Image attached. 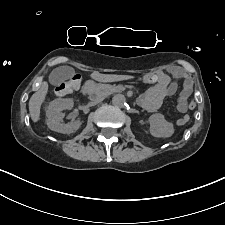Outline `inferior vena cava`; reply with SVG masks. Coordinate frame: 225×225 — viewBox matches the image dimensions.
<instances>
[{"label":"inferior vena cava","mask_w":225,"mask_h":225,"mask_svg":"<svg viewBox=\"0 0 225 225\" xmlns=\"http://www.w3.org/2000/svg\"><path fill=\"white\" fill-rule=\"evenodd\" d=\"M104 100L103 97H97V98H94L91 102L92 105H95V104H98L100 102H102Z\"/></svg>","instance_id":"obj_1"}]
</instances>
